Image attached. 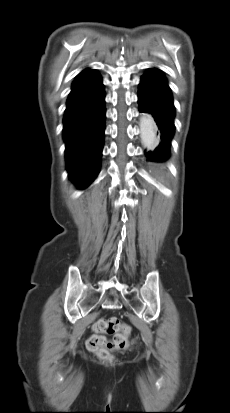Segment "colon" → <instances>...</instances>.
<instances>
[{"label": "colon", "mask_w": 230, "mask_h": 413, "mask_svg": "<svg viewBox=\"0 0 230 413\" xmlns=\"http://www.w3.org/2000/svg\"><path fill=\"white\" fill-rule=\"evenodd\" d=\"M96 334L87 340V348L99 359L111 361L112 351L124 350L128 347V335L130 327L120 323L115 317L100 318L94 324ZM103 334H113L114 338L109 341Z\"/></svg>", "instance_id": "obj_1"}]
</instances>
